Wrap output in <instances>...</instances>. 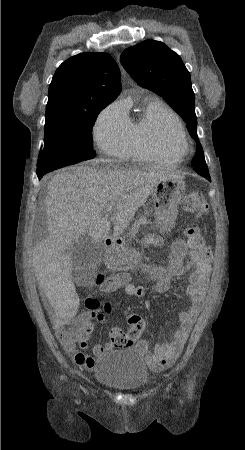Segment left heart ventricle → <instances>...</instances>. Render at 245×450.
Wrapping results in <instances>:
<instances>
[{
	"label": "left heart ventricle",
	"instance_id": "1",
	"mask_svg": "<svg viewBox=\"0 0 245 450\" xmlns=\"http://www.w3.org/2000/svg\"><path fill=\"white\" fill-rule=\"evenodd\" d=\"M156 131L161 134L165 143H167L174 152L181 154L185 151L184 142L171 121L166 119L161 120L156 127Z\"/></svg>",
	"mask_w": 245,
	"mask_h": 450
}]
</instances>
